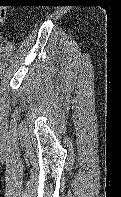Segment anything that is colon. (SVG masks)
Segmentation results:
<instances>
[{
	"mask_svg": "<svg viewBox=\"0 0 121 197\" xmlns=\"http://www.w3.org/2000/svg\"><path fill=\"white\" fill-rule=\"evenodd\" d=\"M2 2V0L0 1ZM7 14V7L4 4H0V25L5 22Z\"/></svg>",
	"mask_w": 121,
	"mask_h": 197,
	"instance_id": "5ec220e1",
	"label": "colon"
}]
</instances>
